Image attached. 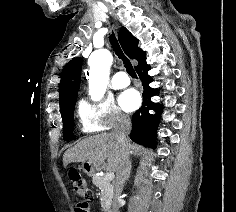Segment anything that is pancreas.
<instances>
[{"mask_svg": "<svg viewBox=\"0 0 236 212\" xmlns=\"http://www.w3.org/2000/svg\"><path fill=\"white\" fill-rule=\"evenodd\" d=\"M92 182L100 189V200H101V207L104 210H108L112 203L113 191L110 180H107L105 176H93Z\"/></svg>", "mask_w": 236, "mask_h": 212, "instance_id": "cf45deb5", "label": "pancreas"}]
</instances>
